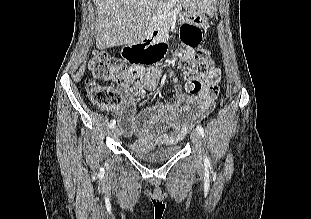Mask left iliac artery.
I'll return each instance as SVG.
<instances>
[{
  "instance_id": "left-iliac-artery-1",
  "label": "left iliac artery",
  "mask_w": 311,
  "mask_h": 219,
  "mask_svg": "<svg viewBox=\"0 0 311 219\" xmlns=\"http://www.w3.org/2000/svg\"><path fill=\"white\" fill-rule=\"evenodd\" d=\"M196 130L199 132V134H200L202 137H204V129H203V127H202L201 125H198V126L196 127ZM205 162H206V163H209L208 157L205 158Z\"/></svg>"
}]
</instances>
